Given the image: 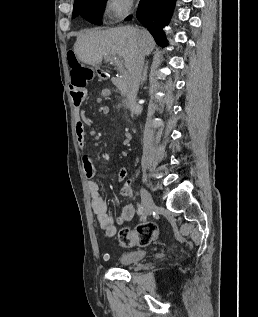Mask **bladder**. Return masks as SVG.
<instances>
[{
    "label": "bladder",
    "instance_id": "31cf9c89",
    "mask_svg": "<svg viewBox=\"0 0 258 317\" xmlns=\"http://www.w3.org/2000/svg\"><path fill=\"white\" fill-rule=\"evenodd\" d=\"M145 255H146V251L143 249L126 251V252L121 253L118 256L117 261L121 265H131V264H135L138 261L142 260Z\"/></svg>",
    "mask_w": 258,
    "mask_h": 317
}]
</instances>
